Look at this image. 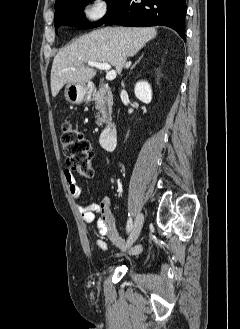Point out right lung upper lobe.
<instances>
[{"label":"right lung upper lobe","instance_id":"obj_1","mask_svg":"<svg viewBox=\"0 0 240 329\" xmlns=\"http://www.w3.org/2000/svg\"><path fill=\"white\" fill-rule=\"evenodd\" d=\"M68 0H56L55 2V9L67 2Z\"/></svg>","mask_w":240,"mask_h":329}]
</instances>
